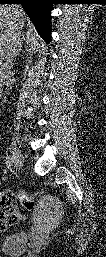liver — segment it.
Segmentation results:
<instances>
[{
	"label": "liver",
	"mask_w": 106,
	"mask_h": 257,
	"mask_svg": "<svg viewBox=\"0 0 106 257\" xmlns=\"http://www.w3.org/2000/svg\"><path fill=\"white\" fill-rule=\"evenodd\" d=\"M28 21V17L19 5H2L0 7V45L5 41L10 28L17 25L20 30Z\"/></svg>",
	"instance_id": "obj_1"
}]
</instances>
